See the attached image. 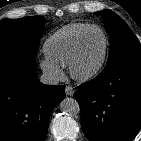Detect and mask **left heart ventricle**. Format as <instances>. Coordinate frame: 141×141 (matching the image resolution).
<instances>
[{
    "label": "left heart ventricle",
    "instance_id": "1",
    "mask_svg": "<svg viewBox=\"0 0 141 141\" xmlns=\"http://www.w3.org/2000/svg\"><path fill=\"white\" fill-rule=\"evenodd\" d=\"M104 44V37L99 30L93 29L87 33L76 63V70L79 73L89 72L98 65L103 54Z\"/></svg>",
    "mask_w": 141,
    "mask_h": 141
}]
</instances>
